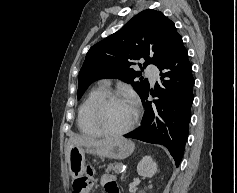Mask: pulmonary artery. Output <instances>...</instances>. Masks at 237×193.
Here are the masks:
<instances>
[{
	"label": "pulmonary artery",
	"mask_w": 237,
	"mask_h": 193,
	"mask_svg": "<svg viewBox=\"0 0 237 193\" xmlns=\"http://www.w3.org/2000/svg\"><path fill=\"white\" fill-rule=\"evenodd\" d=\"M157 67L154 65H148L146 67V74L150 78L151 82L154 83L157 75Z\"/></svg>",
	"instance_id": "e3ab8cb5"
}]
</instances>
